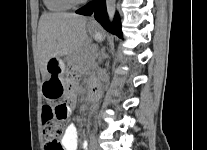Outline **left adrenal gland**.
Listing matches in <instances>:
<instances>
[{
  "label": "left adrenal gland",
  "mask_w": 207,
  "mask_h": 150,
  "mask_svg": "<svg viewBox=\"0 0 207 150\" xmlns=\"http://www.w3.org/2000/svg\"><path fill=\"white\" fill-rule=\"evenodd\" d=\"M107 57V55L106 54H102V58L100 59V62H102L103 61V59L104 58H106Z\"/></svg>",
  "instance_id": "left-adrenal-gland-1"
}]
</instances>
